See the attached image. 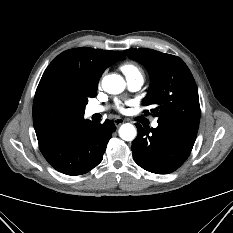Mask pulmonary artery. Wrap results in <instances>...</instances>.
<instances>
[{"label":"pulmonary artery","instance_id":"obj_1","mask_svg":"<svg viewBox=\"0 0 233 233\" xmlns=\"http://www.w3.org/2000/svg\"><path fill=\"white\" fill-rule=\"evenodd\" d=\"M143 78L138 77V78H129L127 79V85L129 87V89L131 91H137L141 88V86L143 85ZM105 107L104 106H100V105H91L87 108V113L89 115H93L96 113H101L103 111H105ZM152 127L153 128H157L158 127V122L157 121H153L152 122Z\"/></svg>","mask_w":233,"mask_h":233}]
</instances>
